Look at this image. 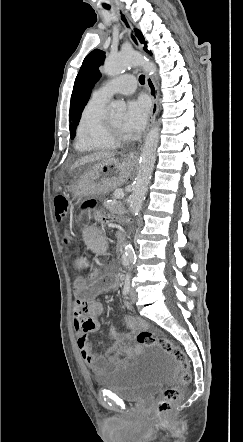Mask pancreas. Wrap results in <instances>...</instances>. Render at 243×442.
Wrapping results in <instances>:
<instances>
[{"instance_id":"1","label":"pancreas","mask_w":243,"mask_h":442,"mask_svg":"<svg viewBox=\"0 0 243 442\" xmlns=\"http://www.w3.org/2000/svg\"><path fill=\"white\" fill-rule=\"evenodd\" d=\"M104 207L110 212V213H121L122 203L120 201H113L110 203H104Z\"/></svg>"}]
</instances>
